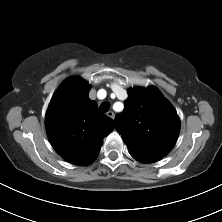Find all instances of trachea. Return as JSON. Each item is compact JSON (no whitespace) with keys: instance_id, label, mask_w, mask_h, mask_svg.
Returning <instances> with one entry per match:
<instances>
[{"instance_id":"obj_1","label":"trachea","mask_w":222,"mask_h":222,"mask_svg":"<svg viewBox=\"0 0 222 222\" xmlns=\"http://www.w3.org/2000/svg\"><path fill=\"white\" fill-rule=\"evenodd\" d=\"M109 109H110V104L108 102H103L99 107V110L102 113H106Z\"/></svg>"}]
</instances>
